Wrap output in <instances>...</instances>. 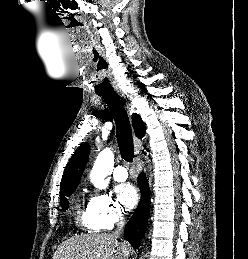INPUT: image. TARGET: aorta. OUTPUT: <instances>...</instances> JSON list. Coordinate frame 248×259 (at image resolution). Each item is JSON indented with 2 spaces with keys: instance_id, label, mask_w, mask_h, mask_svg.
<instances>
[{
  "instance_id": "762f6f07",
  "label": "aorta",
  "mask_w": 248,
  "mask_h": 259,
  "mask_svg": "<svg viewBox=\"0 0 248 259\" xmlns=\"http://www.w3.org/2000/svg\"><path fill=\"white\" fill-rule=\"evenodd\" d=\"M114 166V153L111 149H104L96 158L92 168L90 179L98 189H106L109 180L107 176L111 174Z\"/></svg>"
}]
</instances>
